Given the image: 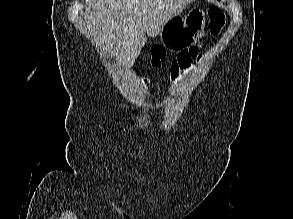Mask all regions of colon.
I'll list each match as a JSON object with an SVG mask.
<instances>
[{
	"label": "colon",
	"instance_id": "obj_1",
	"mask_svg": "<svg viewBox=\"0 0 293 219\" xmlns=\"http://www.w3.org/2000/svg\"><path fill=\"white\" fill-rule=\"evenodd\" d=\"M209 29L213 35L220 33L225 24V17L221 9L218 7H211L208 10ZM152 63L154 66H160L165 58V51L161 47H153L151 49ZM200 59L199 52L196 48L191 47L181 51L171 63V77L172 79L182 71L188 70L195 62Z\"/></svg>",
	"mask_w": 293,
	"mask_h": 219
}]
</instances>
